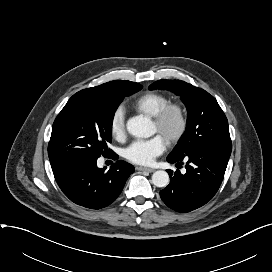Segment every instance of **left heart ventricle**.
I'll return each mask as SVG.
<instances>
[{
  "label": "left heart ventricle",
  "mask_w": 272,
  "mask_h": 272,
  "mask_svg": "<svg viewBox=\"0 0 272 272\" xmlns=\"http://www.w3.org/2000/svg\"><path fill=\"white\" fill-rule=\"evenodd\" d=\"M176 128H177V119H176V117L174 115H172L168 119V121H167V123H166V125H165L162 132H160L158 130L157 126L155 124H153L154 132H159L164 139L168 134L174 132L176 130Z\"/></svg>",
  "instance_id": "obj_1"
}]
</instances>
